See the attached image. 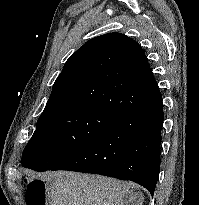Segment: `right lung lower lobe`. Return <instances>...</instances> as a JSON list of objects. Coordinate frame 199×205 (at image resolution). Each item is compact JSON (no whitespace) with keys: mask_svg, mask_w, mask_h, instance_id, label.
Listing matches in <instances>:
<instances>
[{"mask_svg":"<svg viewBox=\"0 0 199 205\" xmlns=\"http://www.w3.org/2000/svg\"><path fill=\"white\" fill-rule=\"evenodd\" d=\"M143 101L119 117L96 140L50 170H69L130 180L154 195L160 171L162 95L155 79L129 84Z\"/></svg>","mask_w":199,"mask_h":205,"instance_id":"obj_1","label":"right lung lower lobe"}]
</instances>
